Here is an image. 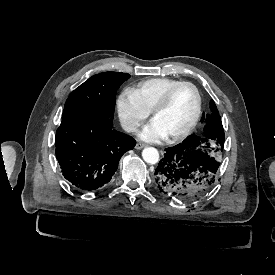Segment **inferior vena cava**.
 Returning <instances> with one entry per match:
<instances>
[{
  "mask_svg": "<svg viewBox=\"0 0 275 275\" xmlns=\"http://www.w3.org/2000/svg\"><path fill=\"white\" fill-rule=\"evenodd\" d=\"M122 127L126 132H134L136 130L135 124H125V125H122Z\"/></svg>",
  "mask_w": 275,
  "mask_h": 275,
  "instance_id": "inferior-vena-cava-1",
  "label": "inferior vena cava"
}]
</instances>
